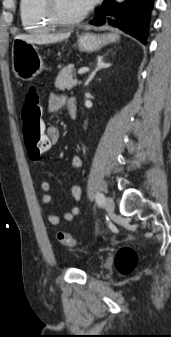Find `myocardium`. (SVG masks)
Masks as SVG:
<instances>
[{
	"label": "myocardium",
	"mask_w": 171,
	"mask_h": 337,
	"mask_svg": "<svg viewBox=\"0 0 171 337\" xmlns=\"http://www.w3.org/2000/svg\"><path fill=\"white\" fill-rule=\"evenodd\" d=\"M44 7L47 16L49 19L57 24V25H74L82 21L88 14V11L85 10L81 14H78L73 17H67L62 14L59 9V1L58 0H44Z\"/></svg>",
	"instance_id": "1"
}]
</instances>
